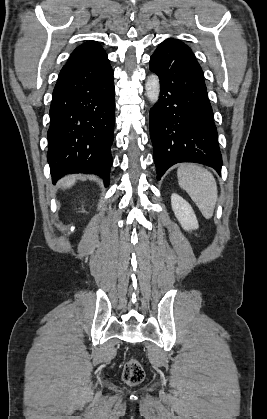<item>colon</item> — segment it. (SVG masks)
<instances>
[{"label": "colon", "instance_id": "1", "mask_svg": "<svg viewBox=\"0 0 267 419\" xmlns=\"http://www.w3.org/2000/svg\"><path fill=\"white\" fill-rule=\"evenodd\" d=\"M145 377V371L136 359H129L123 368L122 378L125 383L128 385H138L140 384Z\"/></svg>", "mask_w": 267, "mask_h": 419}]
</instances>
